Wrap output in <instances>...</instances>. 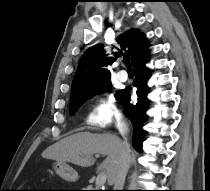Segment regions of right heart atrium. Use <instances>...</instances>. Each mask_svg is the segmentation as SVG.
<instances>
[{"instance_id": "d8ad5b80", "label": "right heart atrium", "mask_w": 210, "mask_h": 191, "mask_svg": "<svg viewBox=\"0 0 210 191\" xmlns=\"http://www.w3.org/2000/svg\"><path fill=\"white\" fill-rule=\"evenodd\" d=\"M119 118V111L114 98L108 96L100 99L89 113L88 120L92 125L105 128Z\"/></svg>"}]
</instances>
